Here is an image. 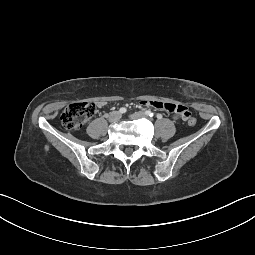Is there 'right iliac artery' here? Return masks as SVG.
<instances>
[{
  "label": "right iliac artery",
  "mask_w": 255,
  "mask_h": 255,
  "mask_svg": "<svg viewBox=\"0 0 255 255\" xmlns=\"http://www.w3.org/2000/svg\"><path fill=\"white\" fill-rule=\"evenodd\" d=\"M126 111H127L126 108H120V109H119V112H120L121 114L125 113Z\"/></svg>",
  "instance_id": "right-iliac-artery-1"
}]
</instances>
